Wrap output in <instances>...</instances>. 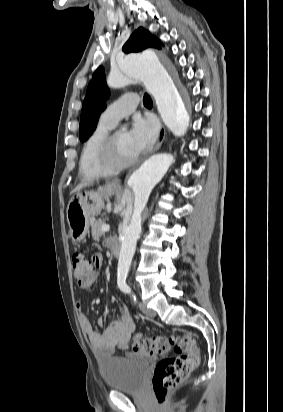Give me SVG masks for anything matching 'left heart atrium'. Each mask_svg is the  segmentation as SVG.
Instances as JSON below:
<instances>
[{
  "mask_svg": "<svg viewBox=\"0 0 283 412\" xmlns=\"http://www.w3.org/2000/svg\"><path fill=\"white\" fill-rule=\"evenodd\" d=\"M157 130L158 126L154 118H135L128 135L131 145L137 154L154 143L157 136Z\"/></svg>",
  "mask_w": 283,
  "mask_h": 412,
  "instance_id": "39dd6f15",
  "label": "left heart atrium"
}]
</instances>
